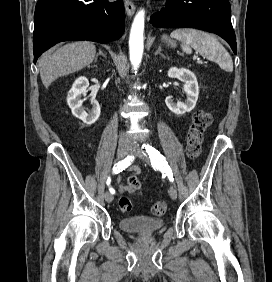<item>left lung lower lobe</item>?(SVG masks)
I'll use <instances>...</instances> for the list:
<instances>
[{
    "label": "left lung lower lobe",
    "mask_w": 272,
    "mask_h": 282,
    "mask_svg": "<svg viewBox=\"0 0 272 282\" xmlns=\"http://www.w3.org/2000/svg\"><path fill=\"white\" fill-rule=\"evenodd\" d=\"M150 22L159 28L190 27L215 33L237 52L228 0H167L165 7L151 16Z\"/></svg>",
    "instance_id": "0a47b994"
}]
</instances>
